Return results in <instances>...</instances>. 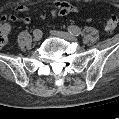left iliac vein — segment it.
Instances as JSON below:
<instances>
[{
	"mask_svg": "<svg viewBox=\"0 0 119 119\" xmlns=\"http://www.w3.org/2000/svg\"><path fill=\"white\" fill-rule=\"evenodd\" d=\"M52 35L69 40V41H76V37L68 32L65 31H56L53 30L51 31Z\"/></svg>",
	"mask_w": 119,
	"mask_h": 119,
	"instance_id": "1",
	"label": "left iliac vein"
}]
</instances>
